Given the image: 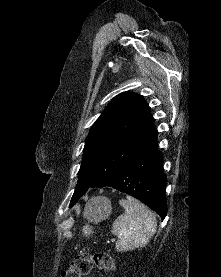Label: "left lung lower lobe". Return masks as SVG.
I'll use <instances>...</instances> for the list:
<instances>
[{
  "label": "left lung lower lobe",
  "mask_w": 221,
  "mask_h": 277,
  "mask_svg": "<svg viewBox=\"0 0 221 277\" xmlns=\"http://www.w3.org/2000/svg\"><path fill=\"white\" fill-rule=\"evenodd\" d=\"M157 146L158 143L155 137L110 175L96 182L91 187H112L127 193L156 211L163 220L167 213V201L165 198L167 178L162 171L163 157ZM82 195L71 199L70 207Z\"/></svg>",
  "instance_id": "obj_1"
}]
</instances>
